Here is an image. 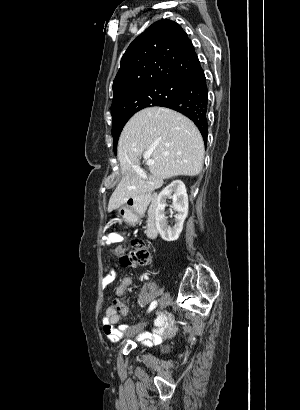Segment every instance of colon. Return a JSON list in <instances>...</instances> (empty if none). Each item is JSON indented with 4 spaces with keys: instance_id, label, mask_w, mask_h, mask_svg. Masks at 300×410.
Wrapping results in <instances>:
<instances>
[{
    "instance_id": "colon-1",
    "label": "colon",
    "mask_w": 300,
    "mask_h": 410,
    "mask_svg": "<svg viewBox=\"0 0 300 410\" xmlns=\"http://www.w3.org/2000/svg\"><path fill=\"white\" fill-rule=\"evenodd\" d=\"M150 260V250L141 238L132 239L127 253L120 256V265L124 268H135L145 265Z\"/></svg>"
}]
</instances>
